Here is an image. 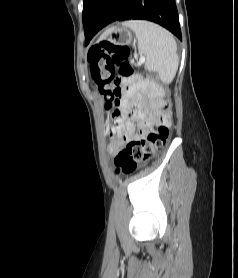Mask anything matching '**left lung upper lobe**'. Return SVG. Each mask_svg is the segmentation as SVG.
<instances>
[{
    "label": "left lung upper lobe",
    "mask_w": 238,
    "mask_h": 278,
    "mask_svg": "<svg viewBox=\"0 0 238 278\" xmlns=\"http://www.w3.org/2000/svg\"><path fill=\"white\" fill-rule=\"evenodd\" d=\"M104 1L105 0H84L82 19L85 34L89 30L98 9Z\"/></svg>",
    "instance_id": "obj_1"
}]
</instances>
